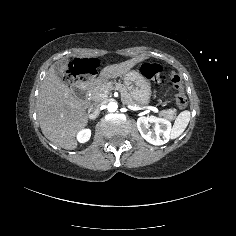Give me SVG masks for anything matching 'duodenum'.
Instances as JSON below:
<instances>
[{
	"mask_svg": "<svg viewBox=\"0 0 236 236\" xmlns=\"http://www.w3.org/2000/svg\"><path fill=\"white\" fill-rule=\"evenodd\" d=\"M97 82L98 78L95 75L91 73L83 74L73 89L75 97L84 103L89 89Z\"/></svg>",
	"mask_w": 236,
	"mask_h": 236,
	"instance_id": "1",
	"label": "duodenum"
}]
</instances>
